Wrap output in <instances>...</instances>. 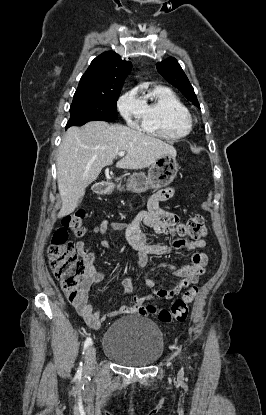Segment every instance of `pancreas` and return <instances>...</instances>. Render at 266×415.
<instances>
[{"label":"pancreas","mask_w":266,"mask_h":415,"mask_svg":"<svg viewBox=\"0 0 266 415\" xmlns=\"http://www.w3.org/2000/svg\"><path fill=\"white\" fill-rule=\"evenodd\" d=\"M120 186H121V183L117 186V189L120 190V191L132 190L133 189V183H132V181H131L130 178L127 179V185H126V187L120 188Z\"/></svg>","instance_id":"obj_1"}]
</instances>
